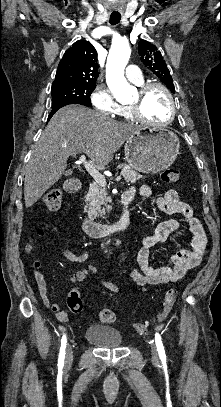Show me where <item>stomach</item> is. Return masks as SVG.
Instances as JSON below:
<instances>
[{
    "label": "stomach",
    "mask_w": 221,
    "mask_h": 407,
    "mask_svg": "<svg viewBox=\"0 0 221 407\" xmlns=\"http://www.w3.org/2000/svg\"><path fill=\"white\" fill-rule=\"evenodd\" d=\"M179 148V139L172 131L140 128L128 138L124 152L132 169L155 174L175 161Z\"/></svg>",
    "instance_id": "0dacf381"
}]
</instances>
